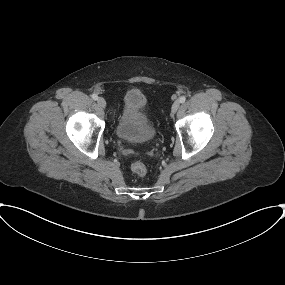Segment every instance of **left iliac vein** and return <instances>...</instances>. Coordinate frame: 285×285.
Masks as SVG:
<instances>
[{"instance_id":"4c4485c4","label":"left iliac vein","mask_w":285,"mask_h":285,"mask_svg":"<svg viewBox=\"0 0 285 285\" xmlns=\"http://www.w3.org/2000/svg\"><path fill=\"white\" fill-rule=\"evenodd\" d=\"M180 107V102L179 101H175L171 107V111L172 113H176L177 110L179 109Z\"/></svg>"}]
</instances>
